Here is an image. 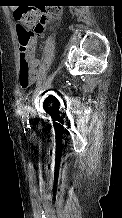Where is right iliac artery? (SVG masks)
I'll use <instances>...</instances> for the list:
<instances>
[{
  "label": "right iliac artery",
  "instance_id": "1",
  "mask_svg": "<svg viewBox=\"0 0 122 218\" xmlns=\"http://www.w3.org/2000/svg\"><path fill=\"white\" fill-rule=\"evenodd\" d=\"M29 110H30V106H29V104H27L25 106V111H24V114L22 116V123H23L24 128H26V129L30 128L29 117H28Z\"/></svg>",
  "mask_w": 122,
  "mask_h": 218
}]
</instances>
